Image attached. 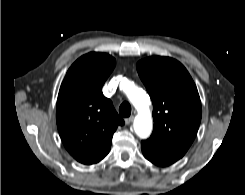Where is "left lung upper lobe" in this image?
<instances>
[{
	"label": "left lung upper lobe",
	"mask_w": 245,
	"mask_h": 195,
	"mask_svg": "<svg viewBox=\"0 0 245 195\" xmlns=\"http://www.w3.org/2000/svg\"><path fill=\"white\" fill-rule=\"evenodd\" d=\"M137 71L153 103L151 136L189 148L202 112L197 88L186 68L175 59L153 56L139 61Z\"/></svg>",
	"instance_id": "obj_1"
}]
</instances>
